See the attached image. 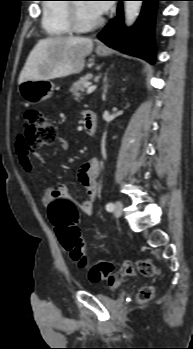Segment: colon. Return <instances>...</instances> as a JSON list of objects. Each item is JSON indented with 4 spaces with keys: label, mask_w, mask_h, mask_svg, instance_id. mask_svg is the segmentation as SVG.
Wrapping results in <instances>:
<instances>
[{
    "label": "colon",
    "mask_w": 193,
    "mask_h": 349,
    "mask_svg": "<svg viewBox=\"0 0 193 349\" xmlns=\"http://www.w3.org/2000/svg\"><path fill=\"white\" fill-rule=\"evenodd\" d=\"M23 138L29 153L36 149L51 144L56 139L54 124L37 109H29L25 112L23 122ZM48 216L55 228L60 243L69 253L70 258L84 268L88 265L85 246L81 240L78 228V210L75 203L68 199H56L48 205ZM137 270L144 276L150 277L156 274V267L149 259H141L136 263ZM114 269L112 262L98 260L89 267L91 281L109 279ZM154 295L152 286H144L138 293V301L146 302Z\"/></svg>",
    "instance_id": "5ec220e1"
}]
</instances>
